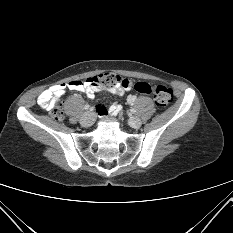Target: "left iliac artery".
<instances>
[{"instance_id":"1","label":"left iliac artery","mask_w":233,"mask_h":233,"mask_svg":"<svg viewBox=\"0 0 233 233\" xmlns=\"http://www.w3.org/2000/svg\"><path fill=\"white\" fill-rule=\"evenodd\" d=\"M130 111H131L132 113H136V109H135V108H132Z\"/></svg>"}]
</instances>
